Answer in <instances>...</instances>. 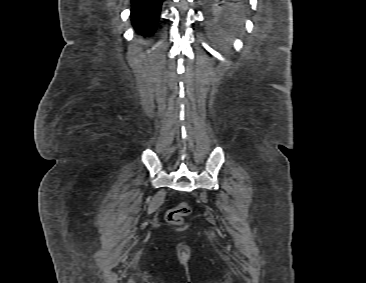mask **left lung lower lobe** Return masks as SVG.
<instances>
[{
	"instance_id": "left-lung-lower-lobe-1",
	"label": "left lung lower lobe",
	"mask_w": 366,
	"mask_h": 283,
	"mask_svg": "<svg viewBox=\"0 0 366 283\" xmlns=\"http://www.w3.org/2000/svg\"><path fill=\"white\" fill-rule=\"evenodd\" d=\"M213 14H231L246 6L248 0H201Z\"/></svg>"
}]
</instances>
